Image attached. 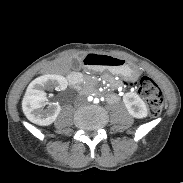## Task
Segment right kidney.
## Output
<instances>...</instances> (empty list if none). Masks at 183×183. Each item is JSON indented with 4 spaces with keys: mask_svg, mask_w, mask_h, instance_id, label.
Wrapping results in <instances>:
<instances>
[{
    "mask_svg": "<svg viewBox=\"0 0 183 183\" xmlns=\"http://www.w3.org/2000/svg\"><path fill=\"white\" fill-rule=\"evenodd\" d=\"M56 88L65 90L67 80L60 75H44L33 80L25 93L22 101V109L29 121L40 126L52 124L61 111L59 104H52L48 109H43L46 104V92Z\"/></svg>",
    "mask_w": 183,
    "mask_h": 183,
    "instance_id": "right-kidney-1",
    "label": "right kidney"
}]
</instances>
